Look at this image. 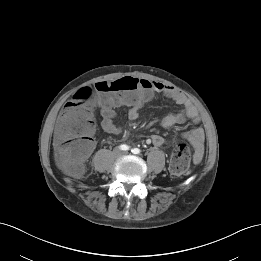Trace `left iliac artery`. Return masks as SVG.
Returning a JSON list of instances; mask_svg holds the SVG:
<instances>
[{
	"label": "left iliac artery",
	"mask_w": 261,
	"mask_h": 261,
	"mask_svg": "<svg viewBox=\"0 0 261 261\" xmlns=\"http://www.w3.org/2000/svg\"><path fill=\"white\" fill-rule=\"evenodd\" d=\"M131 152H132L133 154H139V153H140V150H139L138 148H134V149L131 150Z\"/></svg>",
	"instance_id": "44dca946"
}]
</instances>
